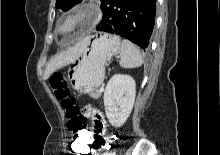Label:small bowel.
Segmentation results:
<instances>
[{
    "instance_id": "small-bowel-1",
    "label": "small bowel",
    "mask_w": 220,
    "mask_h": 155,
    "mask_svg": "<svg viewBox=\"0 0 220 155\" xmlns=\"http://www.w3.org/2000/svg\"><path fill=\"white\" fill-rule=\"evenodd\" d=\"M84 119H90L93 122V135L95 137L96 135V127L98 124H102L105 128V121L102 117V115L96 110V106L95 105H85L84 107ZM92 131V130H91ZM92 144H93V140H92ZM92 144L90 145V151H89V155L91 154V148H92ZM73 147H71L72 149ZM100 155V154H98Z\"/></svg>"
}]
</instances>
